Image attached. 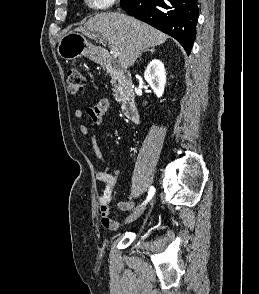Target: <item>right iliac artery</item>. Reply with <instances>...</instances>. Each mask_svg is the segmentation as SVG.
Returning a JSON list of instances; mask_svg holds the SVG:
<instances>
[{
    "instance_id": "82829eb1",
    "label": "right iliac artery",
    "mask_w": 259,
    "mask_h": 294,
    "mask_svg": "<svg viewBox=\"0 0 259 294\" xmlns=\"http://www.w3.org/2000/svg\"><path fill=\"white\" fill-rule=\"evenodd\" d=\"M155 192V189L153 186L150 187L149 192H148V196L147 199L145 200V202L143 204H146L147 202H149L151 200V198L153 197Z\"/></svg>"
}]
</instances>
